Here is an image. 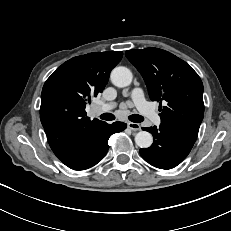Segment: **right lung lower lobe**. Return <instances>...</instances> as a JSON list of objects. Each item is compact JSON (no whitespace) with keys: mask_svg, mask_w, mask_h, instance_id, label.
<instances>
[{"mask_svg":"<svg viewBox=\"0 0 231 231\" xmlns=\"http://www.w3.org/2000/svg\"><path fill=\"white\" fill-rule=\"evenodd\" d=\"M126 127L127 125L122 122L107 124L84 139L63 163L74 170H85L96 165L109 149V137L113 133L123 131Z\"/></svg>","mask_w":231,"mask_h":231,"instance_id":"right-lung-lower-lobe-1","label":"right lung lower lobe"}]
</instances>
